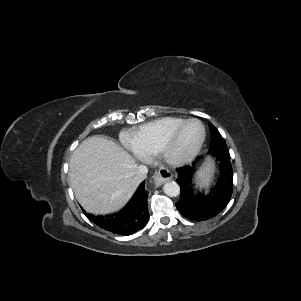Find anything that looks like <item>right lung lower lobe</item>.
<instances>
[{
    "label": "right lung lower lobe",
    "mask_w": 301,
    "mask_h": 301,
    "mask_svg": "<svg viewBox=\"0 0 301 301\" xmlns=\"http://www.w3.org/2000/svg\"><path fill=\"white\" fill-rule=\"evenodd\" d=\"M147 191L143 182L126 207L115 215L94 217L84 212L86 217L100 228L119 235H132L145 227L149 214Z\"/></svg>",
    "instance_id": "1"
}]
</instances>
